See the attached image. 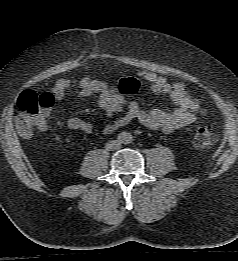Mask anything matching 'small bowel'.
<instances>
[{
    "label": "small bowel",
    "instance_id": "obj_1",
    "mask_svg": "<svg viewBox=\"0 0 238 261\" xmlns=\"http://www.w3.org/2000/svg\"><path fill=\"white\" fill-rule=\"evenodd\" d=\"M136 75L147 81L154 93L167 95L175 104V108L170 111L160 108L143 110L136 102L128 101L117 90L115 84L89 77L60 79L47 93L55 101H60L67 97L70 90L76 89L80 98L94 97L98 106L108 117H113L116 113L124 111L122 116L115 118L105 126V134H111L133 121H138L149 130H160L165 133L175 132L195 122L201 111L200 103L188 91L185 83L170 84L165 77L147 70L139 71ZM67 127L86 133H91L94 129L91 122L76 117L67 121ZM45 128L46 120L40 130Z\"/></svg>",
    "mask_w": 238,
    "mask_h": 261
}]
</instances>
